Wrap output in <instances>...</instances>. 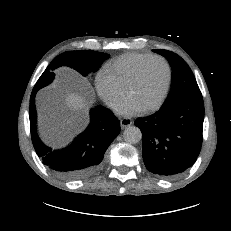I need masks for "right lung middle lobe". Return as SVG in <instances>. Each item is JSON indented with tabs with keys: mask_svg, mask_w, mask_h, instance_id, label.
I'll return each mask as SVG.
<instances>
[{
	"mask_svg": "<svg viewBox=\"0 0 231 231\" xmlns=\"http://www.w3.org/2000/svg\"><path fill=\"white\" fill-rule=\"evenodd\" d=\"M108 56V54L92 50L64 52L53 59L35 84L33 91L37 92L49 85L54 79L53 70L59 66L71 67L86 77L89 73L96 72Z\"/></svg>",
	"mask_w": 231,
	"mask_h": 231,
	"instance_id": "obj_1",
	"label": "right lung middle lobe"
}]
</instances>
